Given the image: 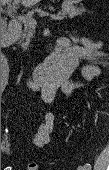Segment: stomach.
Returning a JSON list of instances; mask_svg holds the SVG:
<instances>
[{"label": "stomach", "instance_id": "stomach-1", "mask_svg": "<svg viewBox=\"0 0 109 170\" xmlns=\"http://www.w3.org/2000/svg\"><path fill=\"white\" fill-rule=\"evenodd\" d=\"M82 1L83 0H65V3L67 5L73 6V5H76V4H78V3L82 2Z\"/></svg>", "mask_w": 109, "mask_h": 170}]
</instances>
